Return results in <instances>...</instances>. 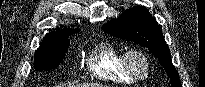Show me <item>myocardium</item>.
<instances>
[{
    "label": "myocardium",
    "instance_id": "f54148a6",
    "mask_svg": "<svg viewBox=\"0 0 205 87\" xmlns=\"http://www.w3.org/2000/svg\"><path fill=\"white\" fill-rule=\"evenodd\" d=\"M140 60L144 63L145 71L140 74L134 67V60ZM122 63L125 71L135 80H144L148 77L151 70V61L148 55L140 49H129L123 53Z\"/></svg>",
    "mask_w": 205,
    "mask_h": 87
}]
</instances>
